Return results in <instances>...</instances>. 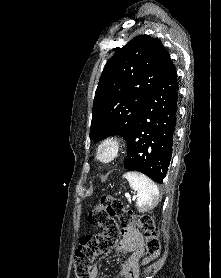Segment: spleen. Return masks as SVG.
<instances>
[{
	"label": "spleen",
	"mask_w": 221,
	"mask_h": 278,
	"mask_svg": "<svg viewBox=\"0 0 221 278\" xmlns=\"http://www.w3.org/2000/svg\"><path fill=\"white\" fill-rule=\"evenodd\" d=\"M130 187L137 192V207L140 212L149 211L159 203L157 185L143 174L127 172L123 175Z\"/></svg>",
	"instance_id": "obj_1"
}]
</instances>
